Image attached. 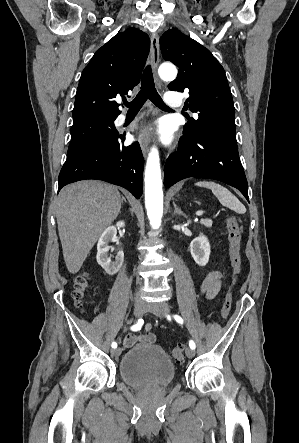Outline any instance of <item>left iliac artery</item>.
<instances>
[{
    "mask_svg": "<svg viewBox=\"0 0 299 443\" xmlns=\"http://www.w3.org/2000/svg\"><path fill=\"white\" fill-rule=\"evenodd\" d=\"M168 318H170V315H168ZM173 318H174L178 323L183 324V319H182L179 315H173ZM189 346H190L191 349H193V350L195 349L196 345H195V343H194L193 340H190V341H189Z\"/></svg>",
    "mask_w": 299,
    "mask_h": 443,
    "instance_id": "44dca946",
    "label": "left iliac artery"
}]
</instances>
